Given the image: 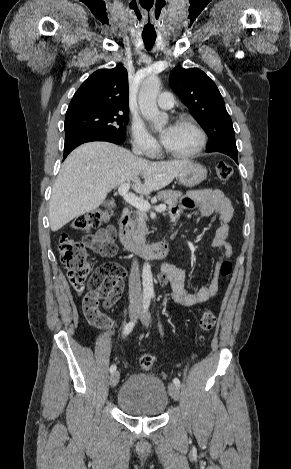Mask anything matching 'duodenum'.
<instances>
[{
    "mask_svg": "<svg viewBox=\"0 0 291 469\" xmlns=\"http://www.w3.org/2000/svg\"><path fill=\"white\" fill-rule=\"evenodd\" d=\"M131 211L128 207L122 210L119 221V238L121 244L129 251L136 252L145 258L163 259L170 249L169 241L163 240L153 244H142L132 235L130 227Z\"/></svg>",
    "mask_w": 291,
    "mask_h": 469,
    "instance_id": "obj_1",
    "label": "duodenum"
}]
</instances>
